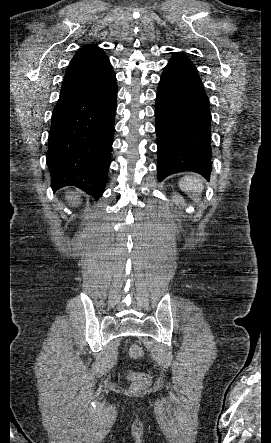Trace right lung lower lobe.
<instances>
[{
	"label": "right lung lower lobe",
	"mask_w": 271,
	"mask_h": 443,
	"mask_svg": "<svg viewBox=\"0 0 271 443\" xmlns=\"http://www.w3.org/2000/svg\"><path fill=\"white\" fill-rule=\"evenodd\" d=\"M116 99V77L61 91L52 113L47 152L54 192L74 185L100 198L110 165Z\"/></svg>",
	"instance_id": "98d812e1"
}]
</instances>
